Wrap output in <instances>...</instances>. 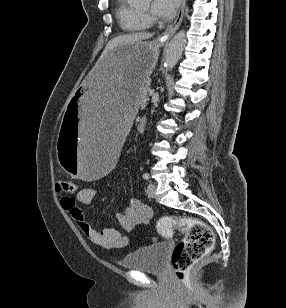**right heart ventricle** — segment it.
<instances>
[{"mask_svg":"<svg viewBox=\"0 0 286 308\" xmlns=\"http://www.w3.org/2000/svg\"><path fill=\"white\" fill-rule=\"evenodd\" d=\"M116 18L125 32L139 33L149 27V21L130 5L129 0H117Z\"/></svg>","mask_w":286,"mask_h":308,"instance_id":"right-heart-ventricle-1","label":"right heart ventricle"}]
</instances>
